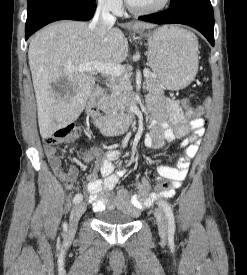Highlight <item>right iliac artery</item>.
<instances>
[{
  "mask_svg": "<svg viewBox=\"0 0 247 275\" xmlns=\"http://www.w3.org/2000/svg\"><path fill=\"white\" fill-rule=\"evenodd\" d=\"M82 198H83L82 194L78 193L75 195L73 201H74V203H79L80 201H82Z\"/></svg>",
  "mask_w": 247,
  "mask_h": 275,
  "instance_id": "right-iliac-artery-1",
  "label": "right iliac artery"
}]
</instances>
